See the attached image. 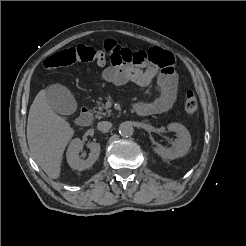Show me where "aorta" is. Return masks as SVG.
Wrapping results in <instances>:
<instances>
[{"instance_id": "762f6f07", "label": "aorta", "mask_w": 246, "mask_h": 246, "mask_svg": "<svg viewBox=\"0 0 246 246\" xmlns=\"http://www.w3.org/2000/svg\"><path fill=\"white\" fill-rule=\"evenodd\" d=\"M134 132L133 126L129 122H123L119 126V134L123 137H130Z\"/></svg>"}]
</instances>
